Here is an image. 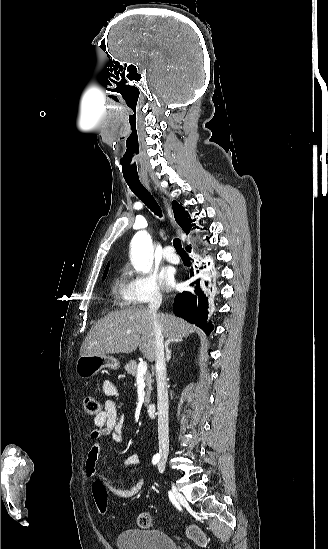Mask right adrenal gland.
I'll return each mask as SVG.
<instances>
[{
  "instance_id": "1",
  "label": "right adrenal gland",
  "mask_w": 328,
  "mask_h": 549,
  "mask_svg": "<svg viewBox=\"0 0 328 549\" xmlns=\"http://www.w3.org/2000/svg\"><path fill=\"white\" fill-rule=\"evenodd\" d=\"M168 345H169V343H167V345H165V351H166V359H167V361H169V359H170V357H171L170 351H169V349H168Z\"/></svg>"
}]
</instances>
